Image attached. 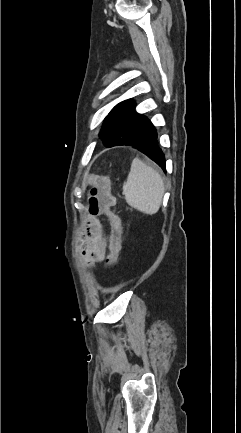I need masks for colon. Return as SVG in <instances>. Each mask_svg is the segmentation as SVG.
I'll return each mask as SVG.
<instances>
[{
	"mask_svg": "<svg viewBox=\"0 0 241 433\" xmlns=\"http://www.w3.org/2000/svg\"><path fill=\"white\" fill-rule=\"evenodd\" d=\"M87 180L91 183L94 179L90 176ZM114 203L110 181L106 178H97L91 191L90 210L95 214L106 216L111 223L112 236L110 238L109 253L106 261L109 267L116 265L120 254L121 226L118 217L111 211V207Z\"/></svg>",
	"mask_w": 241,
	"mask_h": 433,
	"instance_id": "1",
	"label": "colon"
}]
</instances>
